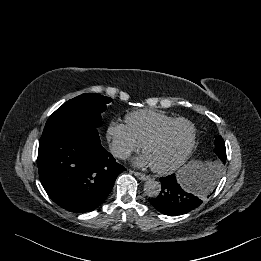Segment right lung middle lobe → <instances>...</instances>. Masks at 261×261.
<instances>
[{
    "mask_svg": "<svg viewBox=\"0 0 261 261\" xmlns=\"http://www.w3.org/2000/svg\"><path fill=\"white\" fill-rule=\"evenodd\" d=\"M111 101L112 98L94 93L77 96L64 103L49 117L43 134L67 127L85 125L98 127L102 124L101 113Z\"/></svg>",
    "mask_w": 261,
    "mask_h": 261,
    "instance_id": "right-lung-middle-lobe-1",
    "label": "right lung middle lobe"
}]
</instances>
